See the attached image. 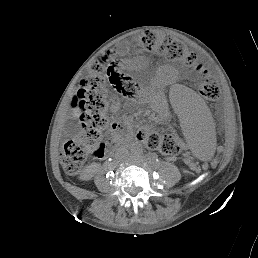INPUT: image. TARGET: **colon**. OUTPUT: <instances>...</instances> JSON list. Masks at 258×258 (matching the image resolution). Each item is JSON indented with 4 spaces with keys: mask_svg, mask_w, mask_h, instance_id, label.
I'll return each mask as SVG.
<instances>
[{
    "mask_svg": "<svg viewBox=\"0 0 258 258\" xmlns=\"http://www.w3.org/2000/svg\"><path fill=\"white\" fill-rule=\"evenodd\" d=\"M139 43L147 50L165 51L172 60H181L186 65L195 63V55L186 52L181 43L168 34L145 32L139 37ZM196 71L200 78V93L209 100L217 99L220 89L216 80L201 64L197 66ZM108 84L125 97L130 96L137 87L136 82L119 68L117 61L103 55L91 64L89 73L82 79L75 95V102L80 111L82 134L80 139L66 143L62 149V165L69 174L79 171L88 152H103L111 144V140L104 135V130L108 127L105 114ZM138 133L145 145L152 150L168 156L180 152L179 142L171 135L144 128H140Z\"/></svg>",
    "mask_w": 258,
    "mask_h": 258,
    "instance_id": "1",
    "label": "colon"
}]
</instances>
